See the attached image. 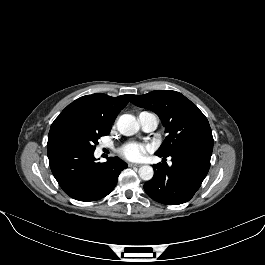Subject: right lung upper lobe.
<instances>
[{
    "mask_svg": "<svg viewBox=\"0 0 265 265\" xmlns=\"http://www.w3.org/2000/svg\"><path fill=\"white\" fill-rule=\"evenodd\" d=\"M131 97L130 94L111 97L103 93L80 97L60 113L50 131L66 122H79L102 131H110L117 115Z\"/></svg>",
    "mask_w": 265,
    "mask_h": 265,
    "instance_id": "obj_1",
    "label": "right lung upper lobe"
}]
</instances>
